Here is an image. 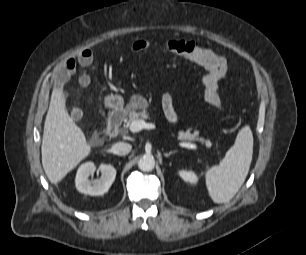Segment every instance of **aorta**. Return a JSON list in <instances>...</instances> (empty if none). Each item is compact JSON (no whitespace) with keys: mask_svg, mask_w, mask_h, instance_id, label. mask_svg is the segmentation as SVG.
I'll return each instance as SVG.
<instances>
[{"mask_svg":"<svg viewBox=\"0 0 306 255\" xmlns=\"http://www.w3.org/2000/svg\"><path fill=\"white\" fill-rule=\"evenodd\" d=\"M138 167L145 172L152 171L155 167V160L151 156H144L138 161Z\"/></svg>","mask_w":306,"mask_h":255,"instance_id":"aorta-1","label":"aorta"}]
</instances>
